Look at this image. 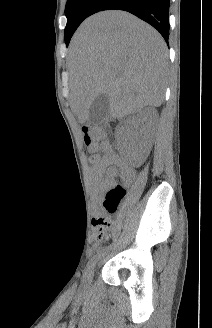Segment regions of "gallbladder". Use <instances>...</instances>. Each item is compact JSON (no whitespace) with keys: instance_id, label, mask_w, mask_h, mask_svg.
Segmentation results:
<instances>
[{"instance_id":"obj_1","label":"gallbladder","mask_w":212,"mask_h":328,"mask_svg":"<svg viewBox=\"0 0 212 328\" xmlns=\"http://www.w3.org/2000/svg\"><path fill=\"white\" fill-rule=\"evenodd\" d=\"M109 103V98L105 94L96 97L89 109L88 123L91 125L102 123L109 115Z\"/></svg>"}]
</instances>
